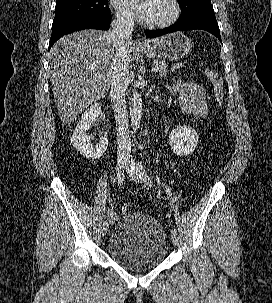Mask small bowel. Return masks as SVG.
Returning a JSON list of instances; mask_svg holds the SVG:
<instances>
[{
  "label": "small bowel",
  "instance_id": "obj_1",
  "mask_svg": "<svg viewBox=\"0 0 272 303\" xmlns=\"http://www.w3.org/2000/svg\"><path fill=\"white\" fill-rule=\"evenodd\" d=\"M173 92L179 97L181 110L199 120H203L208 114L206 89L193 81H177L173 86Z\"/></svg>",
  "mask_w": 272,
  "mask_h": 303
}]
</instances>
